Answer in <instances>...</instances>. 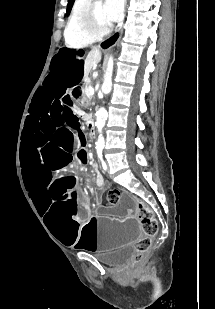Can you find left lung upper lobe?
I'll return each instance as SVG.
<instances>
[{"label": "left lung upper lobe", "mask_w": 215, "mask_h": 309, "mask_svg": "<svg viewBox=\"0 0 215 309\" xmlns=\"http://www.w3.org/2000/svg\"><path fill=\"white\" fill-rule=\"evenodd\" d=\"M74 0H69L68 2V7H67V12H69L71 6H72V3H73Z\"/></svg>", "instance_id": "obj_1"}]
</instances>
